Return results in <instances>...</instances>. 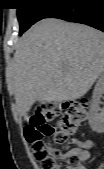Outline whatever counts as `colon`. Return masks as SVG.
Here are the masks:
<instances>
[{
  "mask_svg": "<svg viewBox=\"0 0 104 169\" xmlns=\"http://www.w3.org/2000/svg\"><path fill=\"white\" fill-rule=\"evenodd\" d=\"M90 102L78 99L61 106L38 108L24 128V136L40 163L41 169H82V158L76 151L63 153L61 147L73 142V135L85 122ZM58 117V126L52 122ZM52 136L53 143H47L44 137ZM87 147L81 145V148ZM59 159H61L59 161Z\"/></svg>",
  "mask_w": 104,
  "mask_h": 169,
  "instance_id": "obj_1",
  "label": "colon"
}]
</instances>
